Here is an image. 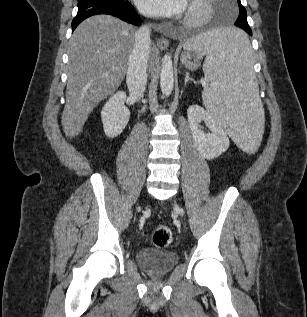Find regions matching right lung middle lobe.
<instances>
[{
    "instance_id": "dd1d6c3e",
    "label": "right lung middle lobe",
    "mask_w": 307,
    "mask_h": 317,
    "mask_svg": "<svg viewBox=\"0 0 307 317\" xmlns=\"http://www.w3.org/2000/svg\"><path fill=\"white\" fill-rule=\"evenodd\" d=\"M79 1H82V0H78V2H79ZM109 1L117 2V3H122V2H124V0H109Z\"/></svg>"
}]
</instances>
